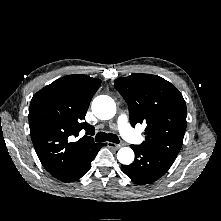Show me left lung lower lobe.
Wrapping results in <instances>:
<instances>
[{
    "label": "left lung lower lobe",
    "mask_w": 221,
    "mask_h": 221,
    "mask_svg": "<svg viewBox=\"0 0 221 221\" xmlns=\"http://www.w3.org/2000/svg\"><path fill=\"white\" fill-rule=\"evenodd\" d=\"M131 148L135 153V160L130 165H122L121 170L140 185L158 180L168 171L176 158L141 145H131Z\"/></svg>",
    "instance_id": "obj_1"
}]
</instances>
